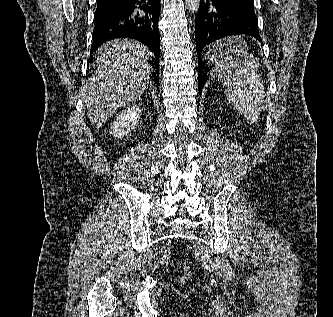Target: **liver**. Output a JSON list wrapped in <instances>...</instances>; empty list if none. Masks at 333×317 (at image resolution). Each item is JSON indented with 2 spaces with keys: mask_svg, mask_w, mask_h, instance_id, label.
I'll return each instance as SVG.
<instances>
[{
  "mask_svg": "<svg viewBox=\"0 0 333 317\" xmlns=\"http://www.w3.org/2000/svg\"><path fill=\"white\" fill-rule=\"evenodd\" d=\"M150 51L132 40L103 44L93 63V75L81 90L90 122L100 128L118 109L145 91L151 66Z\"/></svg>",
  "mask_w": 333,
  "mask_h": 317,
  "instance_id": "liver-1",
  "label": "liver"
}]
</instances>
